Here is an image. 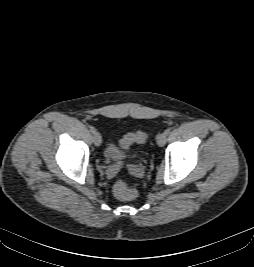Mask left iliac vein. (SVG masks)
I'll return each instance as SVG.
<instances>
[{
    "label": "left iliac vein",
    "instance_id": "left-iliac-vein-1",
    "mask_svg": "<svg viewBox=\"0 0 254 267\" xmlns=\"http://www.w3.org/2000/svg\"><path fill=\"white\" fill-rule=\"evenodd\" d=\"M166 140H167V134L164 132V133H161L157 136V144L159 146H163L165 143H166Z\"/></svg>",
    "mask_w": 254,
    "mask_h": 267
}]
</instances>
